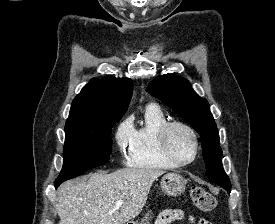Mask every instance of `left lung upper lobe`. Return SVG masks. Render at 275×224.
<instances>
[{"label": "left lung upper lobe", "instance_id": "obj_1", "mask_svg": "<svg viewBox=\"0 0 275 224\" xmlns=\"http://www.w3.org/2000/svg\"><path fill=\"white\" fill-rule=\"evenodd\" d=\"M146 90L200 134L207 176L221 187L231 185L222 166L219 135L207 100L198 96L186 79L173 74L156 77Z\"/></svg>", "mask_w": 275, "mask_h": 224}]
</instances>
